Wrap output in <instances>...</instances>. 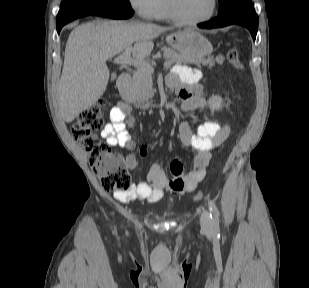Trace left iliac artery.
<instances>
[{
	"label": "left iliac artery",
	"mask_w": 309,
	"mask_h": 288,
	"mask_svg": "<svg viewBox=\"0 0 309 288\" xmlns=\"http://www.w3.org/2000/svg\"><path fill=\"white\" fill-rule=\"evenodd\" d=\"M208 204H209L212 226H213V229L217 231L219 229V211L213 201H209Z\"/></svg>",
	"instance_id": "44dca946"
}]
</instances>
